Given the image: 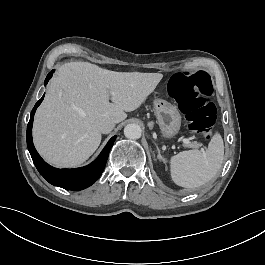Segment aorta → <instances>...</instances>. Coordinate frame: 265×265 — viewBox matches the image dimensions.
<instances>
[{
    "mask_svg": "<svg viewBox=\"0 0 265 265\" xmlns=\"http://www.w3.org/2000/svg\"><path fill=\"white\" fill-rule=\"evenodd\" d=\"M124 135L128 139H139L141 137V128L137 124H128L124 128Z\"/></svg>",
    "mask_w": 265,
    "mask_h": 265,
    "instance_id": "obj_1",
    "label": "aorta"
}]
</instances>
